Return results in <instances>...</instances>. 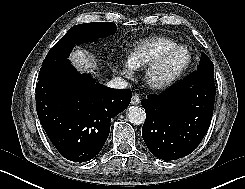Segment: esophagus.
Segmentation results:
<instances>
[{
  "mask_svg": "<svg viewBox=\"0 0 245 189\" xmlns=\"http://www.w3.org/2000/svg\"><path fill=\"white\" fill-rule=\"evenodd\" d=\"M131 104L132 105H138L140 104V98L137 94H134L131 99Z\"/></svg>",
  "mask_w": 245,
  "mask_h": 189,
  "instance_id": "esophagus-1",
  "label": "esophagus"
}]
</instances>
